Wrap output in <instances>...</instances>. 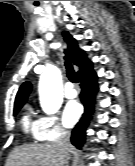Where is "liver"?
Segmentation results:
<instances>
[{
  "instance_id": "liver-1",
  "label": "liver",
  "mask_w": 135,
  "mask_h": 166,
  "mask_svg": "<svg viewBox=\"0 0 135 166\" xmlns=\"http://www.w3.org/2000/svg\"><path fill=\"white\" fill-rule=\"evenodd\" d=\"M73 149L70 145L68 150L63 152L57 141L26 144L12 150L5 166H64Z\"/></svg>"
}]
</instances>
